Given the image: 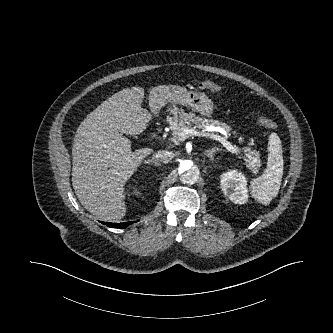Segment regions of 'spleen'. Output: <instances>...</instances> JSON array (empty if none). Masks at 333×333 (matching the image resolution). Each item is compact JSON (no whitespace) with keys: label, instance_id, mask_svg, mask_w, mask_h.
I'll list each match as a JSON object with an SVG mask.
<instances>
[{"label":"spleen","instance_id":"obj_1","mask_svg":"<svg viewBox=\"0 0 333 333\" xmlns=\"http://www.w3.org/2000/svg\"><path fill=\"white\" fill-rule=\"evenodd\" d=\"M268 151L264 174L250 182L252 196L263 205H267L277 196L283 176V151L281 141L276 134L269 137Z\"/></svg>","mask_w":333,"mask_h":333}]
</instances>
